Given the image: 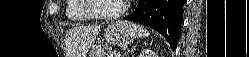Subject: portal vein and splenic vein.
<instances>
[{
  "mask_svg": "<svg viewBox=\"0 0 249 57\" xmlns=\"http://www.w3.org/2000/svg\"><path fill=\"white\" fill-rule=\"evenodd\" d=\"M121 55L120 54H117L116 57H120Z\"/></svg>",
  "mask_w": 249,
  "mask_h": 57,
  "instance_id": "1",
  "label": "portal vein and splenic vein"
}]
</instances>
